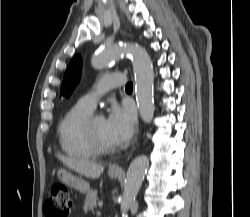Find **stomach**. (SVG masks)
I'll return each instance as SVG.
<instances>
[{
  "mask_svg": "<svg viewBox=\"0 0 250 217\" xmlns=\"http://www.w3.org/2000/svg\"><path fill=\"white\" fill-rule=\"evenodd\" d=\"M111 178H117L118 174L116 173H109ZM57 177L61 180L65 185L81 192V193H88L90 191L89 184L80 177H76L71 174L69 171L61 168L57 170Z\"/></svg>",
  "mask_w": 250,
  "mask_h": 217,
  "instance_id": "0dacf381",
  "label": "stomach"
}]
</instances>
